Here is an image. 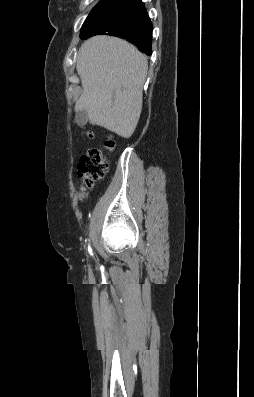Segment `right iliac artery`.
<instances>
[{"label": "right iliac artery", "instance_id": "obj_1", "mask_svg": "<svg viewBox=\"0 0 254 397\" xmlns=\"http://www.w3.org/2000/svg\"><path fill=\"white\" fill-rule=\"evenodd\" d=\"M88 250H89L90 254H92V250H91L90 246L88 247Z\"/></svg>", "mask_w": 254, "mask_h": 397}]
</instances>
